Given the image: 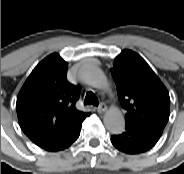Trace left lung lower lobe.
I'll return each mask as SVG.
<instances>
[{
    "instance_id": "1",
    "label": "left lung lower lobe",
    "mask_w": 184,
    "mask_h": 174,
    "mask_svg": "<svg viewBox=\"0 0 184 174\" xmlns=\"http://www.w3.org/2000/svg\"><path fill=\"white\" fill-rule=\"evenodd\" d=\"M159 138L158 135L126 126V130L122 134L111 137V142L122 152L137 154L151 149Z\"/></svg>"
}]
</instances>
